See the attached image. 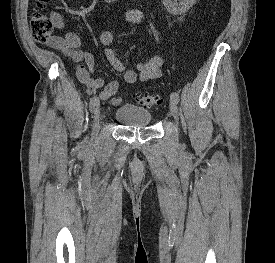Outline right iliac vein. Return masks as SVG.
Instances as JSON below:
<instances>
[{"instance_id":"1","label":"right iliac vein","mask_w":275,"mask_h":263,"mask_svg":"<svg viewBox=\"0 0 275 263\" xmlns=\"http://www.w3.org/2000/svg\"><path fill=\"white\" fill-rule=\"evenodd\" d=\"M93 123H92V129H93V137H96L99 132V118H100V102H97V105L94 108L93 112Z\"/></svg>"}]
</instances>
